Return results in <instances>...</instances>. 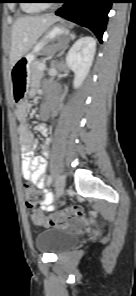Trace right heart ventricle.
<instances>
[{
  "label": "right heart ventricle",
  "instance_id": "1",
  "mask_svg": "<svg viewBox=\"0 0 136 296\" xmlns=\"http://www.w3.org/2000/svg\"><path fill=\"white\" fill-rule=\"evenodd\" d=\"M38 0H24V3L21 5L22 9L26 13H35L43 9V5L36 3Z\"/></svg>",
  "mask_w": 136,
  "mask_h": 296
}]
</instances>
